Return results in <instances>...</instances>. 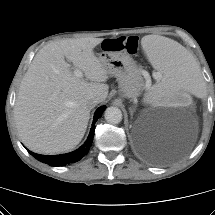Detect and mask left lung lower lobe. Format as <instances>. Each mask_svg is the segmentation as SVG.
I'll return each mask as SVG.
<instances>
[{
  "mask_svg": "<svg viewBox=\"0 0 215 215\" xmlns=\"http://www.w3.org/2000/svg\"><path fill=\"white\" fill-rule=\"evenodd\" d=\"M138 151L151 162H160L157 160L158 153L150 145L141 144L138 146Z\"/></svg>",
  "mask_w": 215,
  "mask_h": 215,
  "instance_id": "0a47b994",
  "label": "left lung lower lobe"
}]
</instances>
